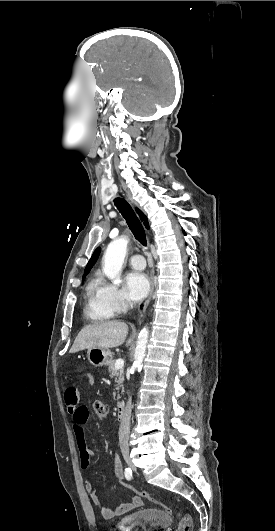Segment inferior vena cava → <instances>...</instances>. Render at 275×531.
Returning a JSON list of instances; mask_svg holds the SVG:
<instances>
[{
    "mask_svg": "<svg viewBox=\"0 0 275 531\" xmlns=\"http://www.w3.org/2000/svg\"><path fill=\"white\" fill-rule=\"evenodd\" d=\"M131 413H132V399L131 397H129L126 403L123 419L119 427L120 449H129L128 441H129V435H130Z\"/></svg>",
    "mask_w": 275,
    "mask_h": 531,
    "instance_id": "inferior-vena-cava-1",
    "label": "inferior vena cava"
}]
</instances>
